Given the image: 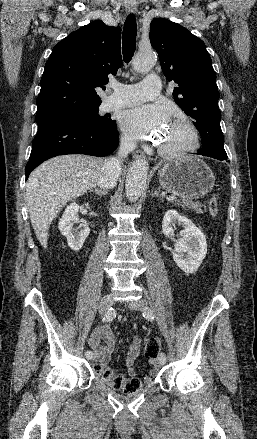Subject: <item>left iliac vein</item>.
<instances>
[{
  "label": "left iliac vein",
  "mask_w": 257,
  "mask_h": 439,
  "mask_svg": "<svg viewBox=\"0 0 257 439\" xmlns=\"http://www.w3.org/2000/svg\"><path fill=\"white\" fill-rule=\"evenodd\" d=\"M126 305L132 310H143L144 302L142 300H134L126 303ZM164 361H158V366L161 367L164 365Z\"/></svg>",
  "instance_id": "obj_1"
}]
</instances>
